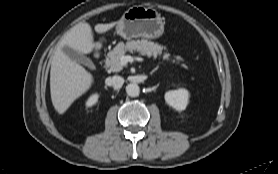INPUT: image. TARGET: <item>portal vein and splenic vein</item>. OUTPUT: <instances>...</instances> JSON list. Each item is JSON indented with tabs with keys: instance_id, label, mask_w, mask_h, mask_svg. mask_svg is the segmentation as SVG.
I'll return each mask as SVG.
<instances>
[{
	"instance_id": "obj_1",
	"label": "portal vein and splenic vein",
	"mask_w": 278,
	"mask_h": 174,
	"mask_svg": "<svg viewBox=\"0 0 278 174\" xmlns=\"http://www.w3.org/2000/svg\"><path fill=\"white\" fill-rule=\"evenodd\" d=\"M130 59H131V56H128V55H123L122 57H121V64L122 65H127L128 64V62L130 61Z\"/></svg>"
}]
</instances>
